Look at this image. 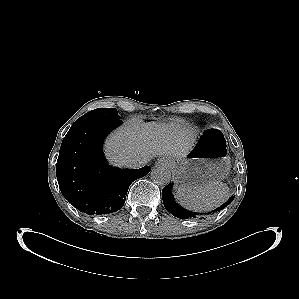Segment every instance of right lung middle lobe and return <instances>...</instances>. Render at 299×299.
<instances>
[{
	"label": "right lung middle lobe",
	"mask_w": 299,
	"mask_h": 299,
	"mask_svg": "<svg viewBox=\"0 0 299 299\" xmlns=\"http://www.w3.org/2000/svg\"><path fill=\"white\" fill-rule=\"evenodd\" d=\"M118 119L119 116L115 108H98L89 111L85 115L81 116L74 122V124L89 123V122H106V121H114Z\"/></svg>",
	"instance_id": "1"
}]
</instances>
